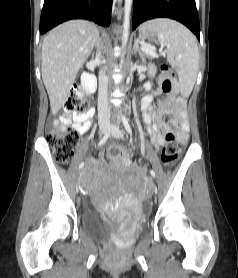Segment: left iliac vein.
I'll return each instance as SVG.
<instances>
[{
	"mask_svg": "<svg viewBox=\"0 0 238 278\" xmlns=\"http://www.w3.org/2000/svg\"><path fill=\"white\" fill-rule=\"evenodd\" d=\"M111 135L114 138H123V132L117 126H114L112 128ZM158 188H159V185H155V196H158Z\"/></svg>",
	"mask_w": 238,
	"mask_h": 278,
	"instance_id": "left-iliac-vein-1",
	"label": "left iliac vein"
}]
</instances>
